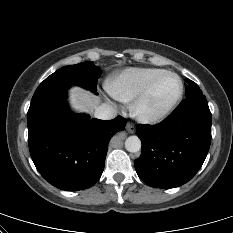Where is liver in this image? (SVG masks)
Listing matches in <instances>:
<instances>
[{
    "mask_svg": "<svg viewBox=\"0 0 233 233\" xmlns=\"http://www.w3.org/2000/svg\"><path fill=\"white\" fill-rule=\"evenodd\" d=\"M72 107L81 112H93L100 103V99L79 87L70 89Z\"/></svg>",
    "mask_w": 233,
    "mask_h": 233,
    "instance_id": "liver-1",
    "label": "liver"
}]
</instances>
